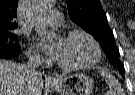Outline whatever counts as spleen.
<instances>
[{
	"instance_id": "3e777b00",
	"label": "spleen",
	"mask_w": 135,
	"mask_h": 95,
	"mask_svg": "<svg viewBox=\"0 0 135 95\" xmlns=\"http://www.w3.org/2000/svg\"><path fill=\"white\" fill-rule=\"evenodd\" d=\"M99 73L109 86V90L107 91L106 95H125L123 89L121 88V84L111 73L101 68L99 69Z\"/></svg>"
}]
</instances>
